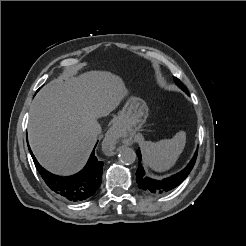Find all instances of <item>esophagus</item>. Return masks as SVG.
Here are the masks:
<instances>
[{"label":"esophagus","instance_id":"34e87169","mask_svg":"<svg viewBox=\"0 0 246 246\" xmlns=\"http://www.w3.org/2000/svg\"><path fill=\"white\" fill-rule=\"evenodd\" d=\"M118 140H119V128L117 127V125H113L107 131L105 138L102 142L103 151L107 155H113Z\"/></svg>","mask_w":246,"mask_h":246}]
</instances>
